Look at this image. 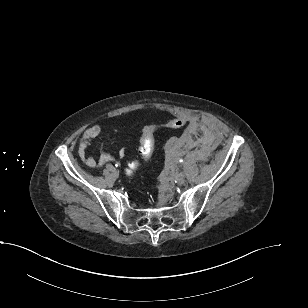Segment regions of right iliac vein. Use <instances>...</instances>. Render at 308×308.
Here are the masks:
<instances>
[{"mask_svg": "<svg viewBox=\"0 0 308 308\" xmlns=\"http://www.w3.org/2000/svg\"><path fill=\"white\" fill-rule=\"evenodd\" d=\"M116 174H117V175H119V172H118V171H116Z\"/></svg>", "mask_w": 308, "mask_h": 308, "instance_id": "1", "label": "right iliac vein"}]
</instances>
